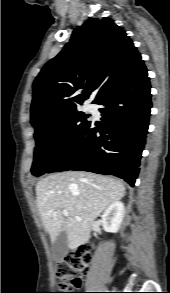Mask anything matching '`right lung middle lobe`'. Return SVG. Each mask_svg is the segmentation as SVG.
I'll list each match as a JSON object with an SVG mask.
<instances>
[{
  "label": "right lung middle lobe",
  "instance_id": "dd1d6c3e",
  "mask_svg": "<svg viewBox=\"0 0 170 293\" xmlns=\"http://www.w3.org/2000/svg\"><path fill=\"white\" fill-rule=\"evenodd\" d=\"M86 118L74 108L35 129L33 175H43L57 162L90 123Z\"/></svg>",
  "mask_w": 170,
  "mask_h": 293
}]
</instances>
